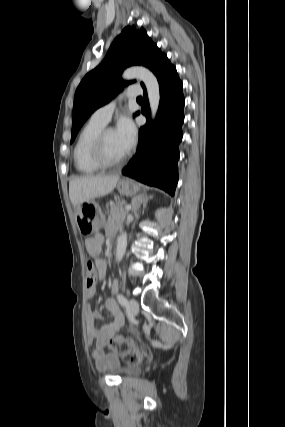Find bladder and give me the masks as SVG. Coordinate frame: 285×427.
Wrapping results in <instances>:
<instances>
[{
    "label": "bladder",
    "instance_id": "obj_1",
    "mask_svg": "<svg viewBox=\"0 0 285 427\" xmlns=\"http://www.w3.org/2000/svg\"><path fill=\"white\" fill-rule=\"evenodd\" d=\"M108 372L109 373H114L120 376H137L140 374V369L138 367H128V368H123L122 366H120L119 362L117 361L116 363L112 364L109 368H108Z\"/></svg>",
    "mask_w": 285,
    "mask_h": 427
}]
</instances>
